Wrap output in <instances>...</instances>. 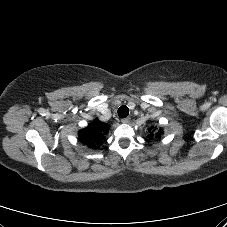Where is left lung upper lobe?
Here are the masks:
<instances>
[{
  "mask_svg": "<svg viewBox=\"0 0 227 227\" xmlns=\"http://www.w3.org/2000/svg\"><path fill=\"white\" fill-rule=\"evenodd\" d=\"M162 133H163V131L159 130L158 133L156 134V136L159 138ZM153 136H154L153 132H150V134L148 135V138L153 139Z\"/></svg>",
  "mask_w": 227,
  "mask_h": 227,
  "instance_id": "left-lung-upper-lobe-1",
  "label": "left lung upper lobe"
}]
</instances>
